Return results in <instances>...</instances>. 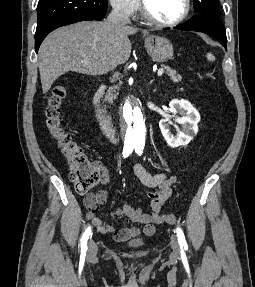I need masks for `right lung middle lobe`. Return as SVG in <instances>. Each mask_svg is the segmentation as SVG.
I'll return each mask as SVG.
<instances>
[{"label":"right lung middle lobe","mask_w":255,"mask_h":287,"mask_svg":"<svg viewBox=\"0 0 255 287\" xmlns=\"http://www.w3.org/2000/svg\"><path fill=\"white\" fill-rule=\"evenodd\" d=\"M107 11V0H39L38 24L64 16L78 15L101 20Z\"/></svg>","instance_id":"obj_1"}]
</instances>
